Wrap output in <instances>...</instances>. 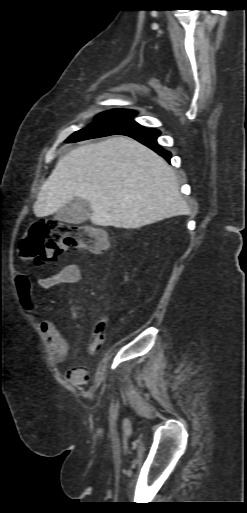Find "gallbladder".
<instances>
[{
  "mask_svg": "<svg viewBox=\"0 0 247 513\" xmlns=\"http://www.w3.org/2000/svg\"><path fill=\"white\" fill-rule=\"evenodd\" d=\"M91 211V204L89 202L75 198L60 208L55 218L71 224H80L88 220Z\"/></svg>",
  "mask_w": 247,
  "mask_h": 513,
  "instance_id": "1",
  "label": "gallbladder"
}]
</instances>
